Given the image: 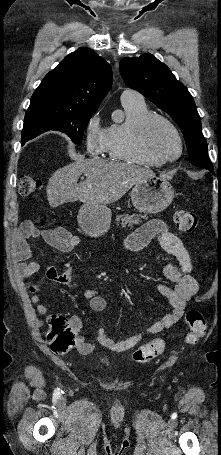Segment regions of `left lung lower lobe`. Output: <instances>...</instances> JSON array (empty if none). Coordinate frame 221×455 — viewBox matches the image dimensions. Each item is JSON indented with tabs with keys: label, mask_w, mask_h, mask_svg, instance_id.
I'll return each mask as SVG.
<instances>
[{
	"label": "left lung lower lobe",
	"mask_w": 221,
	"mask_h": 455,
	"mask_svg": "<svg viewBox=\"0 0 221 455\" xmlns=\"http://www.w3.org/2000/svg\"><path fill=\"white\" fill-rule=\"evenodd\" d=\"M209 170L213 172V166L212 165L209 167Z\"/></svg>",
	"instance_id": "0a47b994"
}]
</instances>
